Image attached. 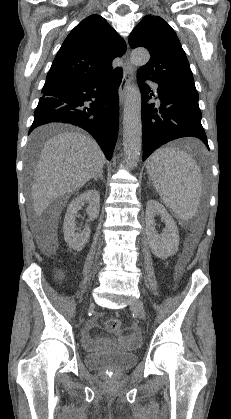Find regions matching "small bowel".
<instances>
[{"mask_svg": "<svg viewBox=\"0 0 231 419\" xmlns=\"http://www.w3.org/2000/svg\"><path fill=\"white\" fill-rule=\"evenodd\" d=\"M99 316H96V318L92 321H90L87 325V327L85 328L84 332H83V339H84V347L88 350H93L95 349L98 345H102L105 344L108 341V339L106 338H95L92 336L91 334V330L97 327V318ZM121 343H127V344H136L138 342V338L136 336V334H133L130 337H126L123 338L121 341Z\"/></svg>", "mask_w": 231, "mask_h": 419, "instance_id": "small-bowel-1", "label": "small bowel"}]
</instances>
